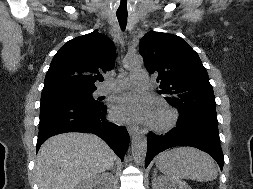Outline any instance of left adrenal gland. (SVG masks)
Segmentation results:
<instances>
[{"label": "left adrenal gland", "instance_id": "left-adrenal-gland-1", "mask_svg": "<svg viewBox=\"0 0 253 189\" xmlns=\"http://www.w3.org/2000/svg\"><path fill=\"white\" fill-rule=\"evenodd\" d=\"M156 174H157V170H156V169H154V175H153V176H156Z\"/></svg>", "mask_w": 253, "mask_h": 189}]
</instances>
